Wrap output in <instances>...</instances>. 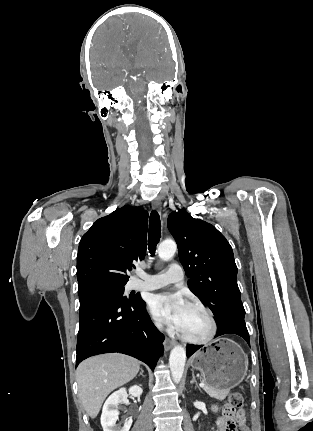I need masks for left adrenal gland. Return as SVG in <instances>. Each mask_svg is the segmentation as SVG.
<instances>
[{"mask_svg": "<svg viewBox=\"0 0 313 431\" xmlns=\"http://www.w3.org/2000/svg\"><path fill=\"white\" fill-rule=\"evenodd\" d=\"M191 384L195 383L196 387H198V383L196 381L194 373H192V380L190 381Z\"/></svg>", "mask_w": 313, "mask_h": 431, "instance_id": "obj_1", "label": "left adrenal gland"}]
</instances>
